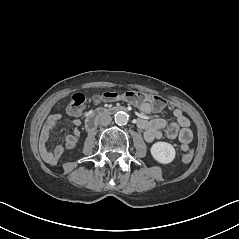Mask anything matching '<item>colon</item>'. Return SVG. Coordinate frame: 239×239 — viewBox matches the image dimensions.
Returning a JSON list of instances; mask_svg holds the SVG:
<instances>
[{
  "instance_id": "1",
  "label": "colon",
  "mask_w": 239,
  "mask_h": 239,
  "mask_svg": "<svg viewBox=\"0 0 239 239\" xmlns=\"http://www.w3.org/2000/svg\"><path fill=\"white\" fill-rule=\"evenodd\" d=\"M98 101H116L125 100L133 103H145L150 102L152 106L157 110H162L167 106L164 99L159 96L150 95L139 91H126L124 93H117L114 91H107L102 94H98L94 97ZM85 95L83 93H76L71 98L69 104L66 107V113L70 116L77 117L82 114L85 105ZM193 153L187 152L182 156V161L188 163L192 160Z\"/></svg>"
}]
</instances>
